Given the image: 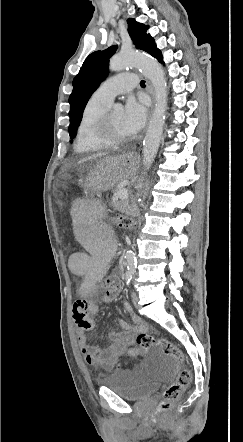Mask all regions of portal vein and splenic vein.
Returning a JSON list of instances; mask_svg holds the SVG:
<instances>
[{
  "label": "portal vein and splenic vein",
  "instance_id": "18ae733b",
  "mask_svg": "<svg viewBox=\"0 0 243 442\" xmlns=\"http://www.w3.org/2000/svg\"><path fill=\"white\" fill-rule=\"evenodd\" d=\"M127 198H128V192L124 188H120L114 197L115 200H118V199L125 200Z\"/></svg>",
  "mask_w": 243,
  "mask_h": 442
}]
</instances>
